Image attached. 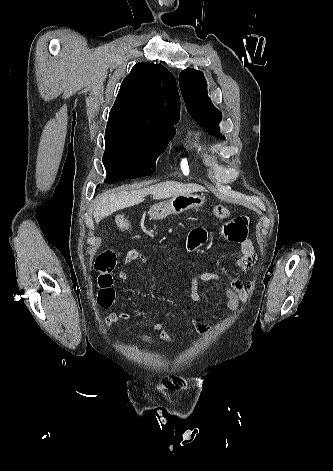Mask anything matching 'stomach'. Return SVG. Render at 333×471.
I'll return each instance as SVG.
<instances>
[{
    "label": "stomach",
    "instance_id": "0dacf381",
    "mask_svg": "<svg viewBox=\"0 0 333 471\" xmlns=\"http://www.w3.org/2000/svg\"><path fill=\"white\" fill-rule=\"evenodd\" d=\"M205 198L199 195L184 194L172 197L168 201L154 204L149 209L151 219L160 220L169 215L181 214L189 209L203 206Z\"/></svg>",
    "mask_w": 333,
    "mask_h": 471
}]
</instances>
